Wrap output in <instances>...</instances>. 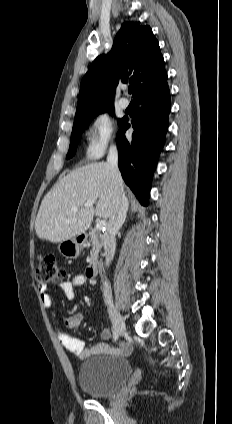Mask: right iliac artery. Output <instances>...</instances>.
I'll list each match as a JSON object with an SVG mask.
<instances>
[{
	"label": "right iliac artery",
	"instance_id": "right-iliac-artery-1",
	"mask_svg": "<svg viewBox=\"0 0 232 424\" xmlns=\"http://www.w3.org/2000/svg\"><path fill=\"white\" fill-rule=\"evenodd\" d=\"M112 332H113V339L116 341L117 339H118V332L116 331V329H112Z\"/></svg>",
	"mask_w": 232,
	"mask_h": 424
}]
</instances>
